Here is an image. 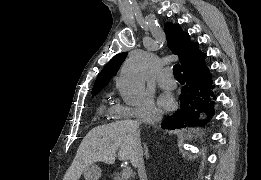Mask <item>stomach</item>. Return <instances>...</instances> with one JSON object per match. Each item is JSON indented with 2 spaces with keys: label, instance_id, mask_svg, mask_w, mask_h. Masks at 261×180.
<instances>
[{
  "label": "stomach",
  "instance_id": "obj_1",
  "mask_svg": "<svg viewBox=\"0 0 261 180\" xmlns=\"http://www.w3.org/2000/svg\"><path fill=\"white\" fill-rule=\"evenodd\" d=\"M101 172V169L97 165L92 164L84 171V178L85 180H99Z\"/></svg>",
  "mask_w": 261,
  "mask_h": 180
}]
</instances>
